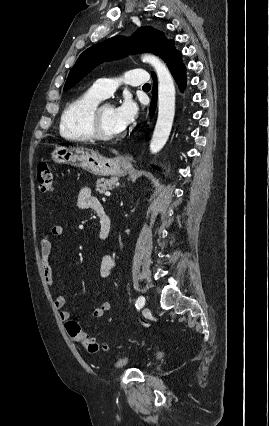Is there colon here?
I'll list each match as a JSON object with an SVG mask.
<instances>
[{
	"label": "colon",
	"instance_id": "obj_1",
	"mask_svg": "<svg viewBox=\"0 0 269 426\" xmlns=\"http://www.w3.org/2000/svg\"><path fill=\"white\" fill-rule=\"evenodd\" d=\"M37 182L42 192H51L53 190V174L49 164L45 160H41L37 164ZM66 330L69 336L81 344L89 353H98L105 349V346L94 341L83 332L75 320H68L66 322Z\"/></svg>",
	"mask_w": 269,
	"mask_h": 426
}]
</instances>
